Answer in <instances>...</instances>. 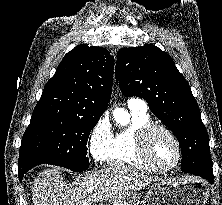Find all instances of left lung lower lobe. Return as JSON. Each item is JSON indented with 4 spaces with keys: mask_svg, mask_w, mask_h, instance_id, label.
<instances>
[{
    "mask_svg": "<svg viewBox=\"0 0 222 205\" xmlns=\"http://www.w3.org/2000/svg\"><path fill=\"white\" fill-rule=\"evenodd\" d=\"M208 166L209 163L194 152H186L182 154L181 169L183 172L201 176ZM204 179L208 180L210 183H213V175H208L207 178Z\"/></svg>",
    "mask_w": 222,
    "mask_h": 205,
    "instance_id": "obj_1",
    "label": "left lung lower lobe"
}]
</instances>
